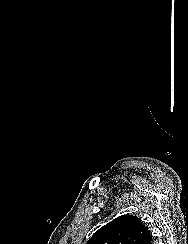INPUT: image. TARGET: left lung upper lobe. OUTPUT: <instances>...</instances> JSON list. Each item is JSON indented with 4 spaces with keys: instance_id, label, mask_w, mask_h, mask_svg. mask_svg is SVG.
Segmentation results:
<instances>
[{
    "instance_id": "5c2ea615",
    "label": "left lung upper lobe",
    "mask_w": 188,
    "mask_h": 244,
    "mask_svg": "<svg viewBox=\"0 0 188 244\" xmlns=\"http://www.w3.org/2000/svg\"><path fill=\"white\" fill-rule=\"evenodd\" d=\"M86 244H152V236L138 217L127 214L101 227Z\"/></svg>"
}]
</instances>
